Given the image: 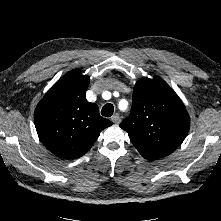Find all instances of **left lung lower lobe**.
I'll return each instance as SVG.
<instances>
[{
	"instance_id": "left-lung-lower-lobe-1",
	"label": "left lung lower lobe",
	"mask_w": 221,
	"mask_h": 221,
	"mask_svg": "<svg viewBox=\"0 0 221 221\" xmlns=\"http://www.w3.org/2000/svg\"><path fill=\"white\" fill-rule=\"evenodd\" d=\"M136 149L139 151V153H140L145 159H148V160H155V159H157L156 157L151 156L150 154L146 153L145 151H143V150H141V149H139V148H136Z\"/></svg>"
}]
</instances>
